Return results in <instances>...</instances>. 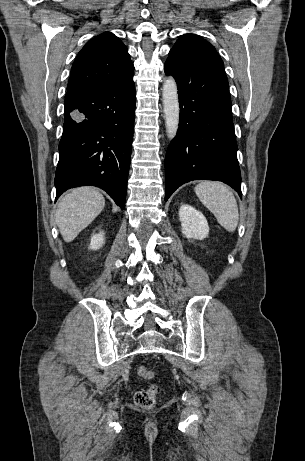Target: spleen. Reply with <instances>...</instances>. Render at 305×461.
Masks as SVG:
<instances>
[{"instance_id":"obj_1","label":"spleen","mask_w":305,"mask_h":461,"mask_svg":"<svg viewBox=\"0 0 305 461\" xmlns=\"http://www.w3.org/2000/svg\"><path fill=\"white\" fill-rule=\"evenodd\" d=\"M200 201L214 214L218 223L234 232L239 221L236 199L231 190L220 182L203 181L195 189Z\"/></svg>"}]
</instances>
